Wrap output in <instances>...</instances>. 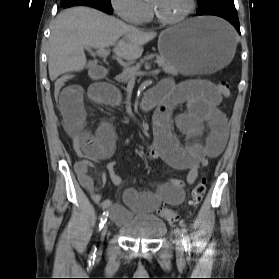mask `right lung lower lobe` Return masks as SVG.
I'll list each match as a JSON object with an SVG mask.
<instances>
[{"label":"right lung lower lobe","mask_w":279,"mask_h":279,"mask_svg":"<svg viewBox=\"0 0 279 279\" xmlns=\"http://www.w3.org/2000/svg\"><path fill=\"white\" fill-rule=\"evenodd\" d=\"M77 5L90 6L108 14L112 13V9H108L107 7L99 3L98 0H61V6L63 8H68Z\"/></svg>","instance_id":"98d812e1"}]
</instances>
